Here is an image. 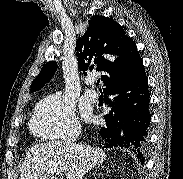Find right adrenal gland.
Wrapping results in <instances>:
<instances>
[{"label":"right adrenal gland","instance_id":"right-adrenal-gland-1","mask_svg":"<svg viewBox=\"0 0 183 179\" xmlns=\"http://www.w3.org/2000/svg\"><path fill=\"white\" fill-rule=\"evenodd\" d=\"M100 167V164H98V166L95 168V169H97V168H99Z\"/></svg>","mask_w":183,"mask_h":179}]
</instances>
